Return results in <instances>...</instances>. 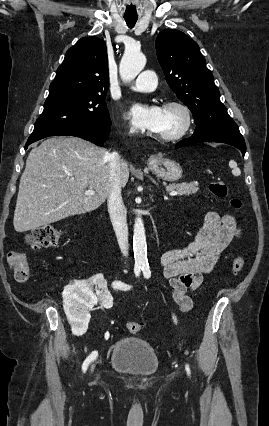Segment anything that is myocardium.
<instances>
[{
	"instance_id": "obj_1",
	"label": "myocardium",
	"mask_w": 269,
	"mask_h": 426,
	"mask_svg": "<svg viewBox=\"0 0 269 426\" xmlns=\"http://www.w3.org/2000/svg\"><path fill=\"white\" fill-rule=\"evenodd\" d=\"M164 109H175L182 114V125L174 133L167 135H157L156 138L162 142H175L183 138L191 128L192 125V113L190 109L183 103L178 101H170L164 105Z\"/></svg>"
}]
</instances>
